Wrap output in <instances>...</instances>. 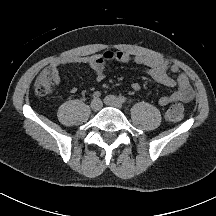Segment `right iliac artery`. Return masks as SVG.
<instances>
[{"label":"right iliac artery","mask_w":216,"mask_h":216,"mask_svg":"<svg viewBox=\"0 0 216 216\" xmlns=\"http://www.w3.org/2000/svg\"><path fill=\"white\" fill-rule=\"evenodd\" d=\"M100 96H101V92L100 91H96L93 94V99H99Z\"/></svg>","instance_id":"1"}]
</instances>
